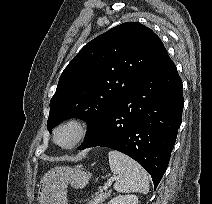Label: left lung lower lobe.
Returning a JSON list of instances; mask_svg holds the SVG:
<instances>
[{
  "instance_id": "0a47b994",
  "label": "left lung lower lobe",
  "mask_w": 212,
  "mask_h": 204,
  "mask_svg": "<svg viewBox=\"0 0 212 204\" xmlns=\"http://www.w3.org/2000/svg\"><path fill=\"white\" fill-rule=\"evenodd\" d=\"M182 81L167 55L103 117L78 149L118 150L147 170L154 187L165 173L182 120Z\"/></svg>"
}]
</instances>
